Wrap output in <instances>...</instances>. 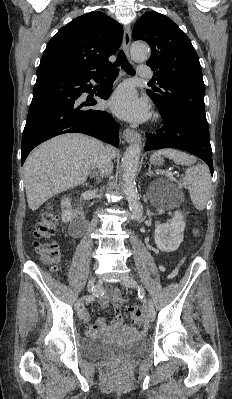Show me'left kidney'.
<instances>
[{
	"mask_svg": "<svg viewBox=\"0 0 232 399\" xmlns=\"http://www.w3.org/2000/svg\"><path fill=\"white\" fill-rule=\"evenodd\" d=\"M181 211H174L173 219L170 223H160L156 225L154 239L157 247L162 251H175L178 249L184 237L186 223Z\"/></svg>",
	"mask_w": 232,
	"mask_h": 399,
	"instance_id": "obj_1",
	"label": "left kidney"
}]
</instances>
